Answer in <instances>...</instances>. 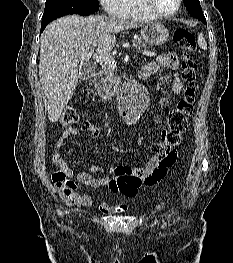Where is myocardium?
<instances>
[{"label":"myocardium","instance_id":"obj_1","mask_svg":"<svg viewBox=\"0 0 233 263\" xmlns=\"http://www.w3.org/2000/svg\"><path fill=\"white\" fill-rule=\"evenodd\" d=\"M143 1V5L144 7L153 15L155 16L156 18H161V19H167V18H171V17H174L178 11L180 10L181 8V4H182V0H177V5H176V8L173 12L171 13H162L160 11H158L155 6L153 5V2L152 0H142Z\"/></svg>","mask_w":233,"mask_h":263}]
</instances>
